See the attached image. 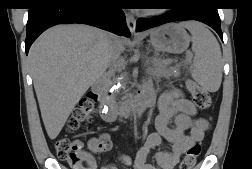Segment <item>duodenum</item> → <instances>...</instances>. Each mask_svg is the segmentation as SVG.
Wrapping results in <instances>:
<instances>
[{"mask_svg":"<svg viewBox=\"0 0 252 169\" xmlns=\"http://www.w3.org/2000/svg\"><path fill=\"white\" fill-rule=\"evenodd\" d=\"M93 91L98 95L100 102V116L105 122H115L120 117L137 116L154 105L151 96H140L122 105L109 97L107 84L103 79L97 80L92 86Z\"/></svg>","mask_w":252,"mask_h":169,"instance_id":"duodenum-1","label":"duodenum"}]
</instances>
